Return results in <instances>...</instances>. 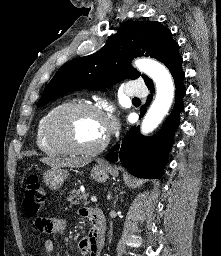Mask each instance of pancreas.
Masks as SVG:
<instances>
[{
  "instance_id": "cf45deb5",
  "label": "pancreas",
  "mask_w": 221,
  "mask_h": 256,
  "mask_svg": "<svg viewBox=\"0 0 221 256\" xmlns=\"http://www.w3.org/2000/svg\"><path fill=\"white\" fill-rule=\"evenodd\" d=\"M88 195L87 193H82L80 189H75L72 192H70L69 197L67 198V200L72 203V204H84L87 205L88 201H87Z\"/></svg>"
}]
</instances>
